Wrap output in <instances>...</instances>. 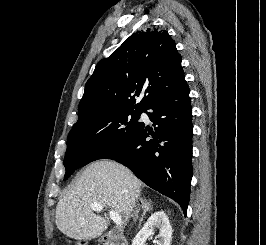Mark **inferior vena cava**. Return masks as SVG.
<instances>
[{"label": "inferior vena cava", "instance_id": "obj_1", "mask_svg": "<svg viewBox=\"0 0 266 245\" xmlns=\"http://www.w3.org/2000/svg\"><path fill=\"white\" fill-rule=\"evenodd\" d=\"M132 205H133L132 209H134L136 203H132ZM131 213H132V211H131ZM137 213H138V211H133V215H134L135 219L137 217Z\"/></svg>", "mask_w": 266, "mask_h": 245}]
</instances>
